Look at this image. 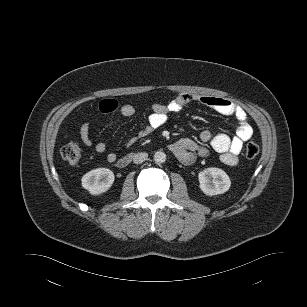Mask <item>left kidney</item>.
Masks as SVG:
<instances>
[{
	"instance_id": "left-kidney-1",
	"label": "left kidney",
	"mask_w": 307,
	"mask_h": 307,
	"mask_svg": "<svg viewBox=\"0 0 307 307\" xmlns=\"http://www.w3.org/2000/svg\"><path fill=\"white\" fill-rule=\"evenodd\" d=\"M200 189L209 196L223 194L229 190L231 181L229 176L220 168H207L198 175Z\"/></svg>"
}]
</instances>
